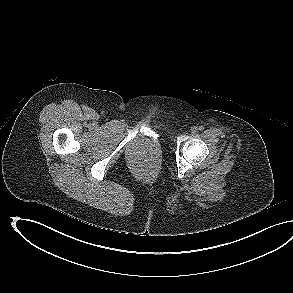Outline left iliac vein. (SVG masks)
I'll use <instances>...</instances> for the list:
<instances>
[{
	"instance_id": "1",
	"label": "left iliac vein",
	"mask_w": 293,
	"mask_h": 293,
	"mask_svg": "<svg viewBox=\"0 0 293 293\" xmlns=\"http://www.w3.org/2000/svg\"><path fill=\"white\" fill-rule=\"evenodd\" d=\"M197 127L196 126H193V127H191V132L193 133V134H196L197 133Z\"/></svg>"
}]
</instances>
